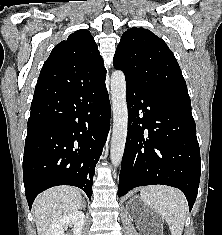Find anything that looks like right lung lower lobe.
Returning a JSON list of instances; mask_svg holds the SVG:
<instances>
[{
	"label": "right lung lower lobe",
	"instance_id": "right-lung-lower-lobe-1",
	"mask_svg": "<svg viewBox=\"0 0 222 235\" xmlns=\"http://www.w3.org/2000/svg\"><path fill=\"white\" fill-rule=\"evenodd\" d=\"M105 78L65 88L36 86L31 115L50 118L28 123L23 175L30 209L39 193L57 185L79 187L91 199L95 166L110 129Z\"/></svg>",
	"mask_w": 222,
	"mask_h": 235
}]
</instances>
